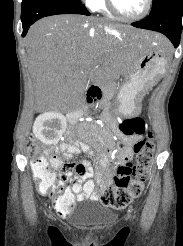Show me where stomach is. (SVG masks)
<instances>
[{
	"label": "stomach",
	"mask_w": 183,
	"mask_h": 246,
	"mask_svg": "<svg viewBox=\"0 0 183 246\" xmlns=\"http://www.w3.org/2000/svg\"><path fill=\"white\" fill-rule=\"evenodd\" d=\"M135 61L126 75L125 84L118 93V111L125 116L140 112L142 99L151 84L166 71L167 60L153 42H132Z\"/></svg>",
	"instance_id": "1"
}]
</instances>
